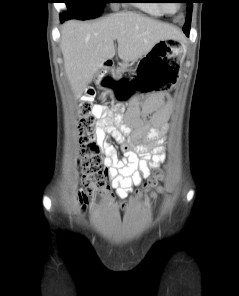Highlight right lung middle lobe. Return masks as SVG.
Listing matches in <instances>:
<instances>
[{
  "label": "right lung middle lobe",
  "mask_w": 239,
  "mask_h": 296,
  "mask_svg": "<svg viewBox=\"0 0 239 296\" xmlns=\"http://www.w3.org/2000/svg\"><path fill=\"white\" fill-rule=\"evenodd\" d=\"M112 2L111 0H64L67 4L68 12L62 16L66 19H90L99 16L102 13V8L106 3ZM91 4H97V12H93Z\"/></svg>",
  "instance_id": "dd1d6c3e"
}]
</instances>
